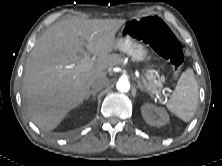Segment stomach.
Listing matches in <instances>:
<instances>
[{
  "mask_svg": "<svg viewBox=\"0 0 222 166\" xmlns=\"http://www.w3.org/2000/svg\"><path fill=\"white\" fill-rule=\"evenodd\" d=\"M116 48L137 62L144 61L148 54V50L143 44L128 35L116 40Z\"/></svg>",
  "mask_w": 222,
  "mask_h": 166,
  "instance_id": "0dacf381",
  "label": "stomach"
}]
</instances>
